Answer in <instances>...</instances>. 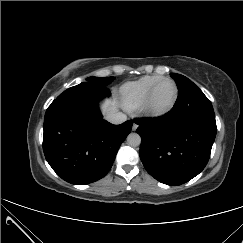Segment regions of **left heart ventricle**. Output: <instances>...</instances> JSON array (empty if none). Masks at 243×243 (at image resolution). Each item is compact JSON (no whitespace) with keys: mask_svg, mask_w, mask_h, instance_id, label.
I'll return each instance as SVG.
<instances>
[{"mask_svg":"<svg viewBox=\"0 0 243 243\" xmlns=\"http://www.w3.org/2000/svg\"><path fill=\"white\" fill-rule=\"evenodd\" d=\"M175 87L171 82L162 84L154 94L153 107L162 109L168 106L174 98Z\"/></svg>","mask_w":243,"mask_h":243,"instance_id":"1","label":"left heart ventricle"}]
</instances>
